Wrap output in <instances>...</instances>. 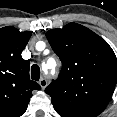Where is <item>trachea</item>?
Returning <instances> with one entry per match:
<instances>
[{"label":"trachea","instance_id":"obj_1","mask_svg":"<svg viewBox=\"0 0 117 117\" xmlns=\"http://www.w3.org/2000/svg\"><path fill=\"white\" fill-rule=\"evenodd\" d=\"M31 79L35 81L40 79V67L36 64L31 67Z\"/></svg>","mask_w":117,"mask_h":117}]
</instances>
